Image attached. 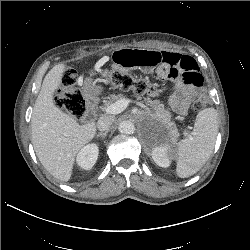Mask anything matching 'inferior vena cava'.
I'll return each mask as SVG.
<instances>
[{
    "label": "inferior vena cava",
    "instance_id": "602c4592",
    "mask_svg": "<svg viewBox=\"0 0 250 250\" xmlns=\"http://www.w3.org/2000/svg\"><path fill=\"white\" fill-rule=\"evenodd\" d=\"M114 118L112 116H103L97 122V128L100 131H108L113 124Z\"/></svg>",
    "mask_w": 250,
    "mask_h": 250
}]
</instances>
